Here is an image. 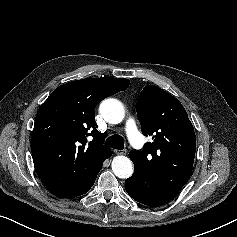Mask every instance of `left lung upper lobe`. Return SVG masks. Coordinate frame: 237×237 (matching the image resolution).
Returning <instances> with one entry per match:
<instances>
[{"mask_svg": "<svg viewBox=\"0 0 237 237\" xmlns=\"http://www.w3.org/2000/svg\"><path fill=\"white\" fill-rule=\"evenodd\" d=\"M136 111L143 135L153 136L142 151L132 150L134 185L142 198L163 205L188 181L195 158L196 136L177 98L154 85L141 91Z\"/></svg>", "mask_w": 237, "mask_h": 237, "instance_id": "5c2ea615", "label": "left lung upper lobe"}]
</instances>
